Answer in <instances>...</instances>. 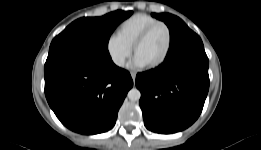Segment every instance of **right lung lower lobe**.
<instances>
[{
    "mask_svg": "<svg viewBox=\"0 0 261 150\" xmlns=\"http://www.w3.org/2000/svg\"><path fill=\"white\" fill-rule=\"evenodd\" d=\"M46 99L58 119L70 130L98 134L110 130L127 92L130 73L110 56L58 53L45 67Z\"/></svg>",
    "mask_w": 261,
    "mask_h": 150,
    "instance_id": "1",
    "label": "right lung lower lobe"
}]
</instances>
